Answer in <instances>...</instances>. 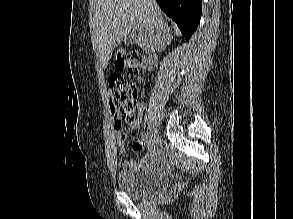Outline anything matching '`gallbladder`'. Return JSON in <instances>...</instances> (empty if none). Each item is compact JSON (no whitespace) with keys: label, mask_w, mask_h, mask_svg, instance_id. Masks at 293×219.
Instances as JSON below:
<instances>
[{"label":"gallbladder","mask_w":293,"mask_h":219,"mask_svg":"<svg viewBox=\"0 0 293 219\" xmlns=\"http://www.w3.org/2000/svg\"><path fill=\"white\" fill-rule=\"evenodd\" d=\"M135 39H136V36L135 34H130L129 36H127L125 39H124V43L127 44V45H133L134 42H135Z\"/></svg>","instance_id":"bac80fb5"}]
</instances>
